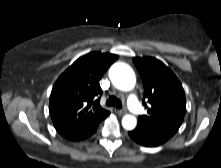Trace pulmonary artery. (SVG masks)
Returning a JSON list of instances; mask_svg holds the SVG:
<instances>
[{"instance_id": "e3ab8cb5", "label": "pulmonary artery", "mask_w": 221, "mask_h": 168, "mask_svg": "<svg viewBox=\"0 0 221 168\" xmlns=\"http://www.w3.org/2000/svg\"><path fill=\"white\" fill-rule=\"evenodd\" d=\"M127 105L134 114H141L143 112V108L135 94H130L128 96Z\"/></svg>"}]
</instances>
